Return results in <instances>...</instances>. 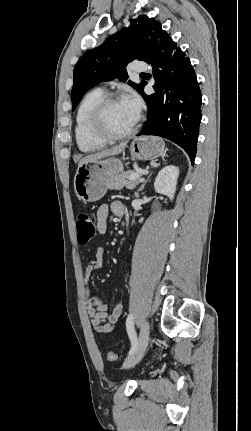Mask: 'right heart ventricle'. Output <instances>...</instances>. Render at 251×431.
Returning a JSON list of instances; mask_svg holds the SVG:
<instances>
[{"label":"right heart ventricle","instance_id":"e07e8e85","mask_svg":"<svg viewBox=\"0 0 251 431\" xmlns=\"http://www.w3.org/2000/svg\"><path fill=\"white\" fill-rule=\"evenodd\" d=\"M101 89L89 91L82 98L75 115L74 135L78 148L82 152H93L105 146L106 141L94 137L89 128L91 113L96 104L104 97Z\"/></svg>","mask_w":251,"mask_h":431}]
</instances>
